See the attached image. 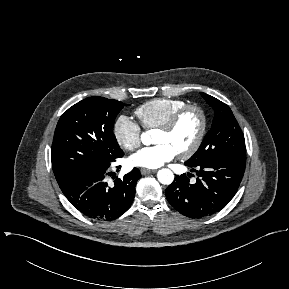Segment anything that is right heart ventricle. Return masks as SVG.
<instances>
[{"mask_svg":"<svg viewBox=\"0 0 289 289\" xmlns=\"http://www.w3.org/2000/svg\"><path fill=\"white\" fill-rule=\"evenodd\" d=\"M187 105L180 99L156 98L139 106L135 113L146 129L163 125L177 110Z\"/></svg>","mask_w":289,"mask_h":289,"instance_id":"1","label":"right heart ventricle"}]
</instances>
